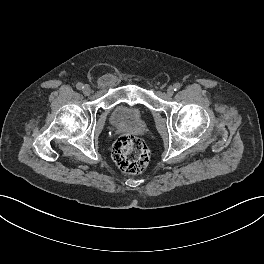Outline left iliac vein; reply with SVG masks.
Segmentation results:
<instances>
[{
  "label": "left iliac vein",
  "instance_id": "left-iliac-vein-1",
  "mask_svg": "<svg viewBox=\"0 0 264 264\" xmlns=\"http://www.w3.org/2000/svg\"><path fill=\"white\" fill-rule=\"evenodd\" d=\"M166 92L167 95L171 97L174 94V88L172 86H169Z\"/></svg>",
  "mask_w": 264,
  "mask_h": 264
}]
</instances>
